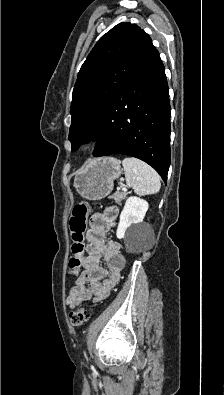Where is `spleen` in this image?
Listing matches in <instances>:
<instances>
[{"label":"spleen","instance_id":"spleen-1","mask_svg":"<svg viewBox=\"0 0 224 395\" xmlns=\"http://www.w3.org/2000/svg\"><path fill=\"white\" fill-rule=\"evenodd\" d=\"M126 184L138 195L155 194L161 183L158 173L143 161L130 157L123 160Z\"/></svg>","mask_w":224,"mask_h":395}]
</instances>
